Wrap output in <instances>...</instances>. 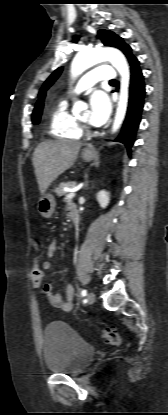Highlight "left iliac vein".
Masks as SVG:
<instances>
[{
  "mask_svg": "<svg viewBox=\"0 0 168 415\" xmlns=\"http://www.w3.org/2000/svg\"><path fill=\"white\" fill-rule=\"evenodd\" d=\"M87 300L90 304L95 302V294L93 292L88 293Z\"/></svg>",
  "mask_w": 168,
  "mask_h": 415,
  "instance_id": "1",
  "label": "left iliac vein"
}]
</instances>
